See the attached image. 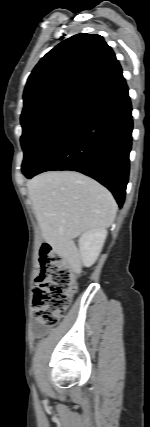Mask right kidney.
<instances>
[{
  "label": "right kidney",
  "instance_id": "obj_1",
  "mask_svg": "<svg viewBox=\"0 0 150 427\" xmlns=\"http://www.w3.org/2000/svg\"><path fill=\"white\" fill-rule=\"evenodd\" d=\"M106 237L107 230L98 228H92L80 236L79 249L84 266L90 267L95 263L102 250Z\"/></svg>",
  "mask_w": 150,
  "mask_h": 427
}]
</instances>
